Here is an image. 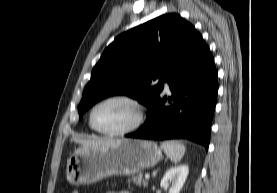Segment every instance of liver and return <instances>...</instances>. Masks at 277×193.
Wrapping results in <instances>:
<instances>
[{"instance_id":"liver-1","label":"liver","mask_w":277,"mask_h":193,"mask_svg":"<svg viewBox=\"0 0 277 193\" xmlns=\"http://www.w3.org/2000/svg\"><path fill=\"white\" fill-rule=\"evenodd\" d=\"M71 140L78 144H81V146L91 147V148H101L106 145H109L110 143H112L114 141L112 139L99 138V137H95V138H91V139H82V138L74 137Z\"/></svg>"}]
</instances>
